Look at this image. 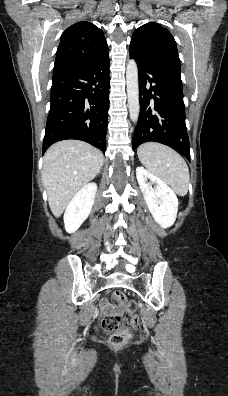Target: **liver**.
<instances>
[{
  "label": "liver",
  "mask_w": 228,
  "mask_h": 396,
  "mask_svg": "<svg viewBox=\"0 0 228 396\" xmlns=\"http://www.w3.org/2000/svg\"><path fill=\"white\" fill-rule=\"evenodd\" d=\"M103 162L100 150L79 140L60 141L46 151L42 182L55 217H59L73 196L96 177Z\"/></svg>",
  "instance_id": "liver-1"
}]
</instances>
